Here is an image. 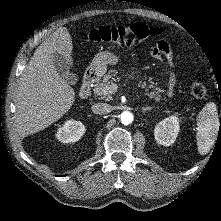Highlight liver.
Wrapping results in <instances>:
<instances>
[{"mask_svg": "<svg viewBox=\"0 0 221 221\" xmlns=\"http://www.w3.org/2000/svg\"><path fill=\"white\" fill-rule=\"evenodd\" d=\"M73 44L66 27L54 31L34 52L20 77L16 96V127L20 136L41 131L73 105L75 92L54 65L59 53L72 62Z\"/></svg>", "mask_w": 221, "mask_h": 221, "instance_id": "obj_1", "label": "liver"}]
</instances>
